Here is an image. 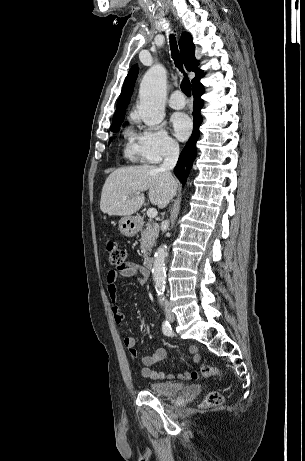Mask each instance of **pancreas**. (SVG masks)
Wrapping results in <instances>:
<instances>
[{"instance_id": "pancreas-1", "label": "pancreas", "mask_w": 305, "mask_h": 461, "mask_svg": "<svg viewBox=\"0 0 305 461\" xmlns=\"http://www.w3.org/2000/svg\"><path fill=\"white\" fill-rule=\"evenodd\" d=\"M159 234V226L149 222L141 233L140 249L144 257H147Z\"/></svg>"}]
</instances>
